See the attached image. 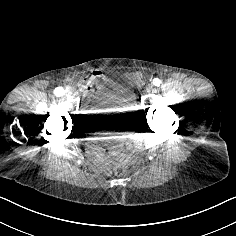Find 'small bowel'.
<instances>
[{"label":"small bowel","mask_w":236,"mask_h":236,"mask_svg":"<svg viewBox=\"0 0 236 236\" xmlns=\"http://www.w3.org/2000/svg\"><path fill=\"white\" fill-rule=\"evenodd\" d=\"M106 81L105 75L101 71H94L88 77L82 79L79 83L81 91L87 96L92 98L94 92V86L102 84ZM95 107H90L89 112H94ZM107 140H116L119 145L112 147L109 155H105L103 148L99 144L100 138H94L88 143L89 154L92 158L104 167H108L110 162L114 158L130 159L132 158L137 150L140 148V139L137 132L134 130L123 131L117 133L115 136L104 137Z\"/></svg>","instance_id":"c3829d8e"}]
</instances>
